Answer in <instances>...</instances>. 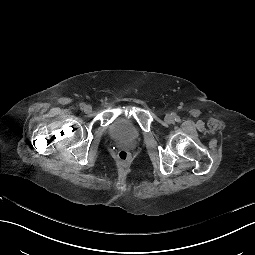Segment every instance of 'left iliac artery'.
<instances>
[{
  "instance_id": "1",
  "label": "left iliac artery",
  "mask_w": 255,
  "mask_h": 255,
  "mask_svg": "<svg viewBox=\"0 0 255 255\" xmlns=\"http://www.w3.org/2000/svg\"><path fill=\"white\" fill-rule=\"evenodd\" d=\"M175 121H176V122H180V117H179V116H176V117H175Z\"/></svg>"
}]
</instances>
